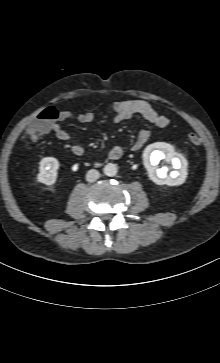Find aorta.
<instances>
[{
	"mask_svg": "<svg viewBox=\"0 0 220 363\" xmlns=\"http://www.w3.org/2000/svg\"><path fill=\"white\" fill-rule=\"evenodd\" d=\"M103 172L106 176L113 177L118 172V167L116 164L108 163L105 165Z\"/></svg>",
	"mask_w": 220,
	"mask_h": 363,
	"instance_id": "aorta-1",
	"label": "aorta"
}]
</instances>
